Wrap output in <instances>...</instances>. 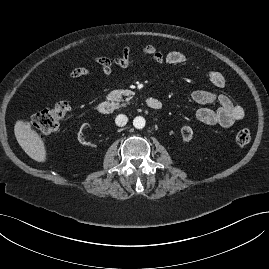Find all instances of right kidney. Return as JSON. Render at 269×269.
Returning a JSON list of instances; mask_svg holds the SVG:
<instances>
[{"label":"right kidney","mask_w":269,"mask_h":269,"mask_svg":"<svg viewBox=\"0 0 269 269\" xmlns=\"http://www.w3.org/2000/svg\"><path fill=\"white\" fill-rule=\"evenodd\" d=\"M85 125H89L88 123H84L82 124L81 128H80V131L78 133V140L80 143L82 144H85V145H88V148L89 149H94L95 148V143L94 142H89L88 140H85L83 141V138H82V129Z\"/></svg>","instance_id":"ca27d5eb"}]
</instances>
